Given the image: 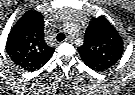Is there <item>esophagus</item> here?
Returning <instances> with one entry per match:
<instances>
[{
	"instance_id": "obj_1",
	"label": "esophagus",
	"mask_w": 135,
	"mask_h": 95,
	"mask_svg": "<svg viewBox=\"0 0 135 95\" xmlns=\"http://www.w3.org/2000/svg\"><path fill=\"white\" fill-rule=\"evenodd\" d=\"M64 42H69V43H71V42H73V40H72L71 37H67V38L64 40Z\"/></svg>"
}]
</instances>
